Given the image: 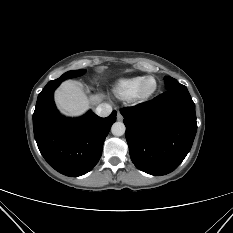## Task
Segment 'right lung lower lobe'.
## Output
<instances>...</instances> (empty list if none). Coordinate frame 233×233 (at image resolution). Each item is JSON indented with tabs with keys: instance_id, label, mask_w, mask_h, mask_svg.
Returning a JSON list of instances; mask_svg holds the SVG:
<instances>
[{
	"instance_id": "obj_1",
	"label": "right lung lower lobe",
	"mask_w": 233,
	"mask_h": 233,
	"mask_svg": "<svg viewBox=\"0 0 233 233\" xmlns=\"http://www.w3.org/2000/svg\"><path fill=\"white\" fill-rule=\"evenodd\" d=\"M61 82L52 80L40 92L33 114L34 136L51 167L66 176L77 177L89 172L99 161L117 113L113 111L101 118L89 111L73 120L60 116L53 93Z\"/></svg>"
}]
</instances>
